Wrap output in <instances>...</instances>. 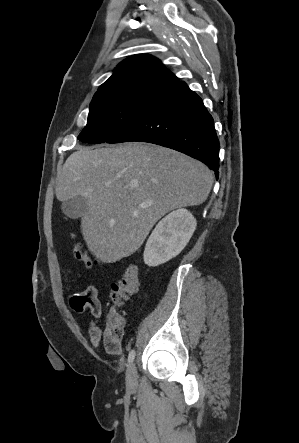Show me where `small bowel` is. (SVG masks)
Listing matches in <instances>:
<instances>
[{
	"mask_svg": "<svg viewBox=\"0 0 299 443\" xmlns=\"http://www.w3.org/2000/svg\"><path fill=\"white\" fill-rule=\"evenodd\" d=\"M99 295L100 291L96 286H89L83 293L73 295L70 299V305L79 312L89 309L92 315L88 325L91 345L95 348L103 345L108 353L116 355L121 352L120 336L112 335L106 329L103 331L97 324V320L102 315Z\"/></svg>",
	"mask_w": 299,
	"mask_h": 443,
	"instance_id": "1",
	"label": "small bowel"
}]
</instances>
